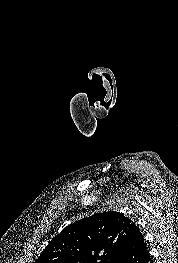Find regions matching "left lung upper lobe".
<instances>
[{
	"label": "left lung upper lobe",
	"mask_w": 178,
	"mask_h": 263,
	"mask_svg": "<svg viewBox=\"0 0 178 263\" xmlns=\"http://www.w3.org/2000/svg\"><path fill=\"white\" fill-rule=\"evenodd\" d=\"M132 224L115 211L81 219L55 236L34 263H111Z\"/></svg>",
	"instance_id": "1"
}]
</instances>
